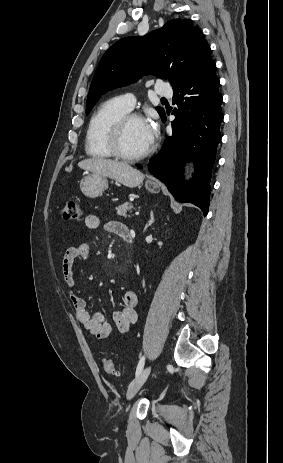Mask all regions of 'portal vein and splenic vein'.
I'll list each match as a JSON object with an SVG mask.
<instances>
[{
	"label": "portal vein and splenic vein",
	"instance_id": "obj_1",
	"mask_svg": "<svg viewBox=\"0 0 283 463\" xmlns=\"http://www.w3.org/2000/svg\"><path fill=\"white\" fill-rule=\"evenodd\" d=\"M135 214H136V215H139V212H136Z\"/></svg>",
	"mask_w": 283,
	"mask_h": 463
}]
</instances>
